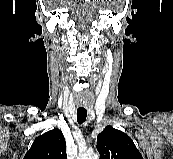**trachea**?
<instances>
[{
    "instance_id": "1",
    "label": "trachea",
    "mask_w": 173,
    "mask_h": 159,
    "mask_svg": "<svg viewBox=\"0 0 173 159\" xmlns=\"http://www.w3.org/2000/svg\"><path fill=\"white\" fill-rule=\"evenodd\" d=\"M87 117V110L83 108H78L77 109V121L79 124H82L85 122Z\"/></svg>"
}]
</instances>
